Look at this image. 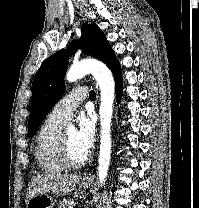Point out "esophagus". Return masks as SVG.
<instances>
[{"label":"esophagus","instance_id":"34e87169","mask_svg":"<svg viewBox=\"0 0 199 208\" xmlns=\"http://www.w3.org/2000/svg\"><path fill=\"white\" fill-rule=\"evenodd\" d=\"M83 179H88V178H91V175L90 173H85L83 176H82Z\"/></svg>","mask_w":199,"mask_h":208}]
</instances>
